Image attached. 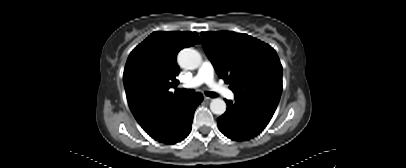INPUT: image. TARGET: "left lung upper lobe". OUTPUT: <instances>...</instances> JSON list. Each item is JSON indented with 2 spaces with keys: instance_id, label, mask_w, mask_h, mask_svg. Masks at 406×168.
<instances>
[{
  "instance_id": "obj_1",
  "label": "left lung upper lobe",
  "mask_w": 406,
  "mask_h": 168,
  "mask_svg": "<svg viewBox=\"0 0 406 168\" xmlns=\"http://www.w3.org/2000/svg\"><path fill=\"white\" fill-rule=\"evenodd\" d=\"M201 35L207 57L236 99L276 109L282 93V65L271 46L229 31Z\"/></svg>"
}]
</instances>
